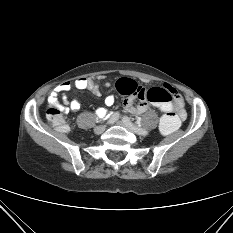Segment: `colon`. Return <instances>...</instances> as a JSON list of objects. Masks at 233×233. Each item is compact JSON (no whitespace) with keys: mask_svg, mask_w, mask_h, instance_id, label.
<instances>
[{"mask_svg":"<svg viewBox=\"0 0 233 233\" xmlns=\"http://www.w3.org/2000/svg\"><path fill=\"white\" fill-rule=\"evenodd\" d=\"M115 87L120 94L133 96L158 106L163 112L159 123V129L163 135H171L179 129L181 118L172 108L173 95L169 90L164 87L144 88L131 79H120ZM47 119L56 130L68 131V125L57 105L50 106Z\"/></svg>","mask_w":233,"mask_h":233,"instance_id":"5ec220e1","label":"colon"}]
</instances>
